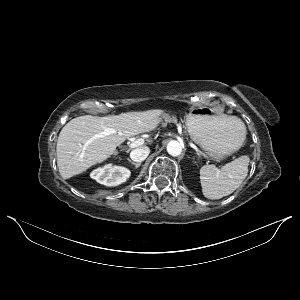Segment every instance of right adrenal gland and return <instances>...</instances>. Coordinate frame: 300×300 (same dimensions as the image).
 Here are the masks:
<instances>
[{"label": "right adrenal gland", "instance_id": "right-adrenal-gland-1", "mask_svg": "<svg viewBox=\"0 0 300 300\" xmlns=\"http://www.w3.org/2000/svg\"><path fill=\"white\" fill-rule=\"evenodd\" d=\"M132 165H134L135 166V168L137 169V168H139L140 166H141V162H134V161H132L131 159H127Z\"/></svg>", "mask_w": 300, "mask_h": 300}]
</instances>
